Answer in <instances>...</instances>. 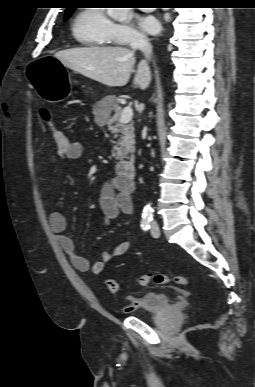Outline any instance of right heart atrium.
<instances>
[{
  "instance_id": "right-heart-atrium-1",
  "label": "right heart atrium",
  "mask_w": 255,
  "mask_h": 387,
  "mask_svg": "<svg viewBox=\"0 0 255 387\" xmlns=\"http://www.w3.org/2000/svg\"><path fill=\"white\" fill-rule=\"evenodd\" d=\"M111 42L119 45H132L146 41V36L128 22H112L110 26Z\"/></svg>"
}]
</instances>
